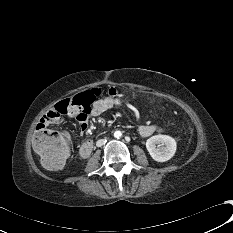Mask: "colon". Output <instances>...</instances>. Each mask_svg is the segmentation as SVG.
<instances>
[{
  "label": "colon",
  "instance_id": "obj_1",
  "mask_svg": "<svg viewBox=\"0 0 233 233\" xmlns=\"http://www.w3.org/2000/svg\"><path fill=\"white\" fill-rule=\"evenodd\" d=\"M102 89L93 87L60 102L61 109L88 111L100 98ZM33 147L42 164L49 169L60 168L71 152V139L66 132L50 131L38 126L33 136Z\"/></svg>",
  "mask_w": 233,
  "mask_h": 233
}]
</instances>
